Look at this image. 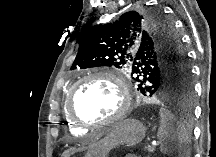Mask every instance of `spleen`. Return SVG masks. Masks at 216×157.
<instances>
[{
	"instance_id": "1",
	"label": "spleen",
	"mask_w": 216,
	"mask_h": 157,
	"mask_svg": "<svg viewBox=\"0 0 216 157\" xmlns=\"http://www.w3.org/2000/svg\"><path fill=\"white\" fill-rule=\"evenodd\" d=\"M160 127L157 138L160 144V151L166 155H178L188 157L190 153L189 129L185 123L176 118L168 109L161 108Z\"/></svg>"
}]
</instances>
